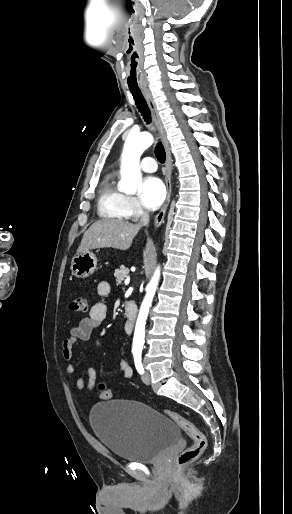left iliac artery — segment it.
<instances>
[{
  "mask_svg": "<svg viewBox=\"0 0 292 514\" xmlns=\"http://www.w3.org/2000/svg\"><path fill=\"white\" fill-rule=\"evenodd\" d=\"M133 356H134V363H135L136 370L138 371L139 374H143L144 368H143L142 361H141L142 360L141 353L134 352Z\"/></svg>",
  "mask_w": 292,
  "mask_h": 514,
  "instance_id": "1",
  "label": "left iliac artery"
}]
</instances>
